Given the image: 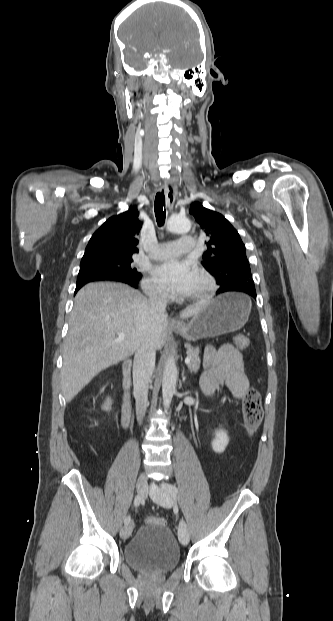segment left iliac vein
I'll return each instance as SVG.
<instances>
[{
	"label": "left iliac vein",
	"mask_w": 333,
	"mask_h": 621,
	"mask_svg": "<svg viewBox=\"0 0 333 621\" xmlns=\"http://www.w3.org/2000/svg\"><path fill=\"white\" fill-rule=\"evenodd\" d=\"M150 497L155 503L162 507L169 508L172 506V498L168 491L162 486H157L155 483L150 485ZM178 538L182 545H187L189 543V531L184 520H181L179 523Z\"/></svg>",
	"instance_id": "1"
}]
</instances>
